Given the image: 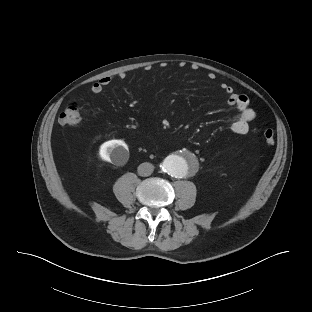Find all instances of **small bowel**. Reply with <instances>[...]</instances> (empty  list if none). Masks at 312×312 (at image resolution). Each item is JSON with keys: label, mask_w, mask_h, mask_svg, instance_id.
<instances>
[{"label": "small bowel", "mask_w": 312, "mask_h": 312, "mask_svg": "<svg viewBox=\"0 0 312 312\" xmlns=\"http://www.w3.org/2000/svg\"><path fill=\"white\" fill-rule=\"evenodd\" d=\"M118 78L123 79L125 73H119ZM208 77L213 79L215 75L209 73ZM113 76H105L98 81L94 82L91 86V92L95 95L102 93L103 89L111 83ZM221 89L227 95V102L229 106L235 108L238 114L231 120V131L238 135H244L249 131V124L256 117L255 111L250 107L249 98L243 94H237L233 88L225 83L221 84Z\"/></svg>", "instance_id": "obj_1"}]
</instances>
